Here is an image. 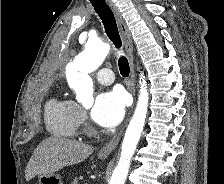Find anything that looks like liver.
<instances>
[{
  "mask_svg": "<svg viewBox=\"0 0 224 184\" xmlns=\"http://www.w3.org/2000/svg\"><path fill=\"white\" fill-rule=\"evenodd\" d=\"M92 152L90 145L78 141L55 136L46 138L37 146L26 166V181L36 175H51L66 166L80 163Z\"/></svg>",
  "mask_w": 224,
  "mask_h": 184,
  "instance_id": "obj_1",
  "label": "liver"
}]
</instances>
